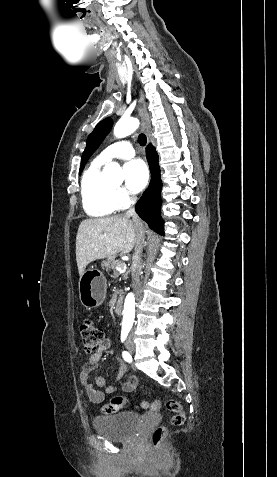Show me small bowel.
Here are the masks:
<instances>
[{
  "label": "small bowel",
  "instance_id": "small-bowel-1",
  "mask_svg": "<svg viewBox=\"0 0 277 477\" xmlns=\"http://www.w3.org/2000/svg\"><path fill=\"white\" fill-rule=\"evenodd\" d=\"M111 343L109 339H103L100 342V345L97 349L96 352H94L88 360L84 363L80 370V381L81 384L83 385V388L90 399L91 402L93 403H101L104 400V394L101 390L97 389V387H104L106 384L105 379L102 376H97L95 379V384L92 383L89 379L90 373L98 368L100 358L102 356V353L110 348ZM112 360L117 364L118 367V377L117 380H120L124 377L126 373V364L124 361L119 357V356H113ZM138 384V379L134 375H129L124 382L122 388L125 392H131L132 390L135 389V387ZM96 385V386H95ZM124 399V398H123ZM125 405L128 404V400L124 399Z\"/></svg>",
  "mask_w": 277,
  "mask_h": 477
}]
</instances>
